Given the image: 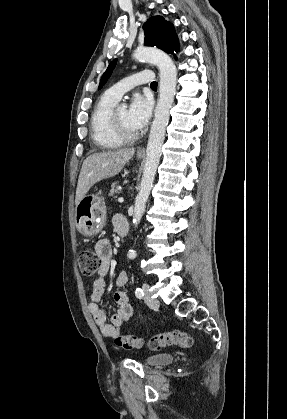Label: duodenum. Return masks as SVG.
Listing matches in <instances>:
<instances>
[{
	"instance_id": "duodenum-1",
	"label": "duodenum",
	"mask_w": 287,
	"mask_h": 419,
	"mask_svg": "<svg viewBox=\"0 0 287 419\" xmlns=\"http://www.w3.org/2000/svg\"><path fill=\"white\" fill-rule=\"evenodd\" d=\"M128 231H129V227H128V224H126V223L121 224V225H120V226H118V228H117V234H118L120 237H125V236L128 234Z\"/></svg>"
}]
</instances>
